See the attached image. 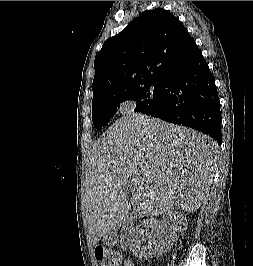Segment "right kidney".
Instances as JSON below:
<instances>
[{
    "label": "right kidney",
    "instance_id": "right-kidney-1",
    "mask_svg": "<svg viewBox=\"0 0 253 266\" xmlns=\"http://www.w3.org/2000/svg\"><path fill=\"white\" fill-rule=\"evenodd\" d=\"M170 222L172 224L168 229ZM186 228L187 220L182 215H169L163 220H144L129 236L130 250L140 259L159 257L176 243Z\"/></svg>",
    "mask_w": 253,
    "mask_h": 266
}]
</instances>
